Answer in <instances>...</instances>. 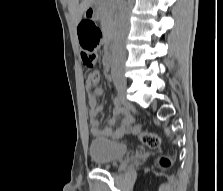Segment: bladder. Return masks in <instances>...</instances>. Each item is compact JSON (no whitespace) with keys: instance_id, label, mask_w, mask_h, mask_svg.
Listing matches in <instances>:
<instances>
[{"instance_id":"31cf9c89","label":"bladder","mask_w":223,"mask_h":191,"mask_svg":"<svg viewBox=\"0 0 223 191\" xmlns=\"http://www.w3.org/2000/svg\"><path fill=\"white\" fill-rule=\"evenodd\" d=\"M127 153L128 147L123 141L96 138L89 144V156L98 165L112 164L122 159Z\"/></svg>"}]
</instances>
